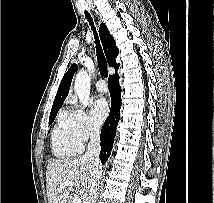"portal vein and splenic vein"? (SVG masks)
Returning a JSON list of instances; mask_svg holds the SVG:
<instances>
[{
	"label": "portal vein and splenic vein",
	"mask_w": 214,
	"mask_h": 203,
	"mask_svg": "<svg viewBox=\"0 0 214 203\" xmlns=\"http://www.w3.org/2000/svg\"><path fill=\"white\" fill-rule=\"evenodd\" d=\"M67 186H71V187L74 186V182L73 181H65V182L61 183L60 186H59V190H62ZM71 203H81V198L80 197H75L71 201Z\"/></svg>",
	"instance_id": "obj_1"
}]
</instances>
